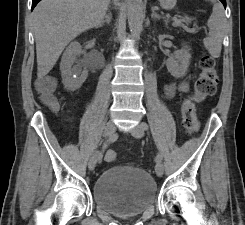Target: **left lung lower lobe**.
I'll return each mask as SVG.
<instances>
[{"instance_id":"0a47b994","label":"left lung lower lobe","mask_w":245,"mask_h":225,"mask_svg":"<svg viewBox=\"0 0 245 225\" xmlns=\"http://www.w3.org/2000/svg\"><path fill=\"white\" fill-rule=\"evenodd\" d=\"M222 2V4L224 5V7H226V0H220Z\"/></svg>"}]
</instances>
